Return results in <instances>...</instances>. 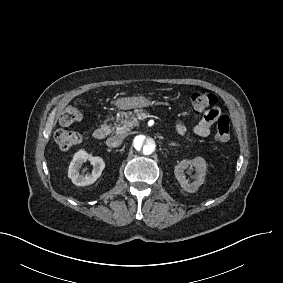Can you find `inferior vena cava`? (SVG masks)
<instances>
[{"mask_svg":"<svg viewBox=\"0 0 283 283\" xmlns=\"http://www.w3.org/2000/svg\"><path fill=\"white\" fill-rule=\"evenodd\" d=\"M123 138L121 136H112L106 140V144L109 147H118L122 144Z\"/></svg>","mask_w":283,"mask_h":283,"instance_id":"inferior-vena-cava-1","label":"inferior vena cava"}]
</instances>
